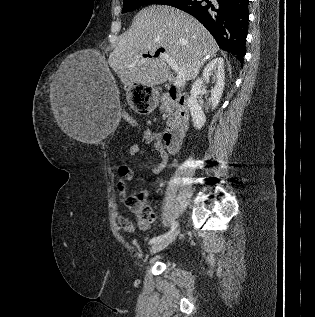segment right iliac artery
I'll return each mask as SVG.
<instances>
[{"instance_id": "right-iliac-artery-1", "label": "right iliac artery", "mask_w": 315, "mask_h": 317, "mask_svg": "<svg viewBox=\"0 0 315 317\" xmlns=\"http://www.w3.org/2000/svg\"><path fill=\"white\" fill-rule=\"evenodd\" d=\"M177 226H178V223H177V222H174V223L172 224L171 229H170L168 232H166V233H164V234H162V235H159V236H157V237L152 238V239L149 241V244L156 243V242H158V241H160V240H162V239L168 237L170 234L173 233V231L177 228Z\"/></svg>"}]
</instances>
